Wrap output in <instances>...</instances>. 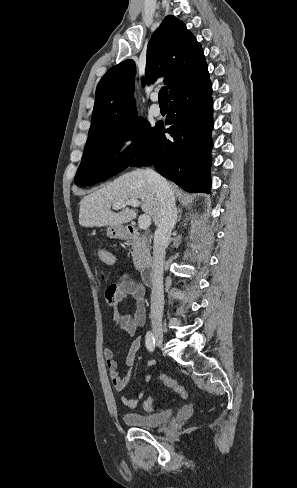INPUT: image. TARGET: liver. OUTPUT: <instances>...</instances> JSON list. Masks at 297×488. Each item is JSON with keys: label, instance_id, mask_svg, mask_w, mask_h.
Returning <instances> with one entry per match:
<instances>
[{"label": "liver", "instance_id": "6515ba94", "mask_svg": "<svg viewBox=\"0 0 297 488\" xmlns=\"http://www.w3.org/2000/svg\"><path fill=\"white\" fill-rule=\"evenodd\" d=\"M130 199L141 201L142 211L151 216L158 225L160 219V200L145 170L137 169L125 173L100 190L85 196L80 202L79 224L83 227L121 226L136 217L133 209L123 207L114 213L111 205L125 203Z\"/></svg>", "mask_w": 297, "mask_h": 488}]
</instances>
